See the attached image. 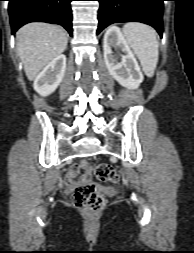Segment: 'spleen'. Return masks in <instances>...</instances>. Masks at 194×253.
I'll return each instance as SVG.
<instances>
[{"instance_id":"spleen-1","label":"spleen","mask_w":194,"mask_h":253,"mask_svg":"<svg viewBox=\"0 0 194 253\" xmlns=\"http://www.w3.org/2000/svg\"><path fill=\"white\" fill-rule=\"evenodd\" d=\"M123 33L128 45L138 57L143 72L147 77H152L159 57L156 31L146 24L130 22L124 25Z\"/></svg>"}]
</instances>
